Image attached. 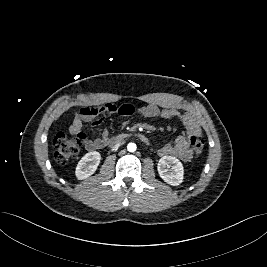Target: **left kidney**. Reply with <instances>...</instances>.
I'll use <instances>...</instances> for the list:
<instances>
[{
	"instance_id": "1",
	"label": "left kidney",
	"mask_w": 267,
	"mask_h": 267,
	"mask_svg": "<svg viewBox=\"0 0 267 267\" xmlns=\"http://www.w3.org/2000/svg\"><path fill=\"white\" fill-rule=\"evenodd\" d=\"M159 176L172 186L183 182L184 168L182 163L173 156H163L157 166Z\"/></svg>"
}]
</instances>
